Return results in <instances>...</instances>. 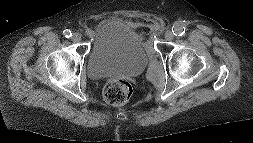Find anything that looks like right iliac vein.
Wrapping results in <instances>:
<instances>
[{"instance_id": "right-iliac-vein-1", "label": "right iliac vein", "mask_w": 253, "mask_h": 143, "mask_svg": "<svg viewBox=\"0 0 253 143\" xmlns=\"http://www.w3.org/2000/svg\"><path fill=\"white\" fill-rule=\"evenodd\" d=\"M81 39H82V36H81V34L78 33V32L74 33L73 36H72L73 42L78 43V42L81 41Z\"/></svg>"}]
</instances>
